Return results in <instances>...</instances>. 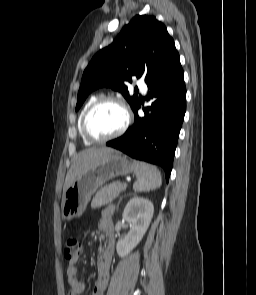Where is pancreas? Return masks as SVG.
Wrapping results in <instances>:
<instances>
[{
  "label": "pancreas",
  "instance_id": "obj_1",
  "mask_svg": "<svg viewBox=\"0 0 256 295\" xmlns=\"http://www.w3.org/2000/svg\"><path fill=\"white\" fill-rule=\"evenodd\" d=\"M127 185L123 182L116 181L102 187L94 196L91 206L93 209L100 208L111 203L121 192L126 189Z\"/></svg>",
  "mask_w": 256,
  "mask_h": 295
}]
</instances>
